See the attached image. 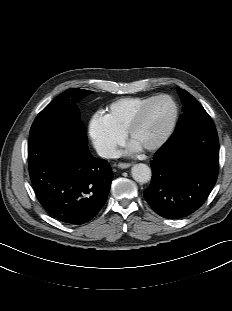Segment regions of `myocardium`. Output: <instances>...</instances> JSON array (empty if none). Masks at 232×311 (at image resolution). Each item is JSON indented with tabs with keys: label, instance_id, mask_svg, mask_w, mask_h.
Listing matches in <instances>:
<instances>
[{
	"label": "myocardium",
	"instance_id": "1",
	"mask_svg": "<svg viewBox=\"0 0 232 311\" xmlns=\"http://www.w3.org/2000/svg\"><path fill=\"white\" fill-rule=\"evenodd\" d=\"M163 99L168 100L173 106L172 118H171L168 126L164 130V132L161 134V136L155 142H153L152 144L143 148L144 151L150 152V151H154V150L160 148L169 139V137L171 136V134L175 128V125H176L177 120H178V106H177V103L174 101V99L171 96H169V95H157V96L152 97L149 101H147L145 104H143L138 109V111L135 113V115L131 119L130 123L128 124V126L124 132V136H125L126 140L130 141L132 133L137 128V126L141 123V121L143 120V118H144L147 110L150 108V106L153 103H155L159 100H163Z\"/></svg>",
	"mask_w": 232,
	"mask_h": 311
}]
</instances>
